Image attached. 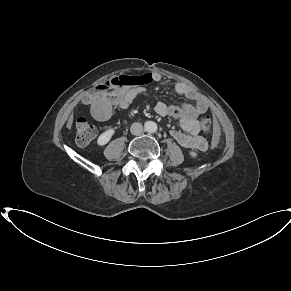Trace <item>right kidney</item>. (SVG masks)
Returning a JSON list of instances; mask_svg holds the SVG:
<instances>
[{"label": "right kidney", "instance_id": "1", "mask_svg": "<svg viewBox=\"0 0 291 291\" xmlns=\"http://www.w3.org/2000/svg\"><path fill=\"white\" fill-rule=\"evenodd\" d=\"M114 133H115V130L113 128L106 130L98 137L97 144L99 146L106 145L110 141V139L114 135Z\"/></svg>", "mask_w": 291, "mask_h": 291}]
</instances>
